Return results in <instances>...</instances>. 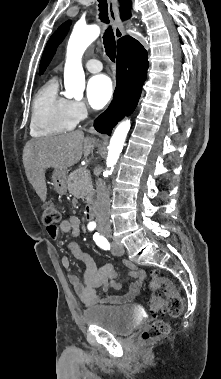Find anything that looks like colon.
<instances>
[{
	"label": "colon",
	"instance_id": "1",
	"mask_svg": "<svg viewBox=\"0 0 221 379\" xmlns=\"http://www.w3.org/2000/svg\"><path fill=\"white\" fill-rule=\"evenodd\" d=\"M42 223L47 229L54 230L60 221V212L53 203H46L42 216ZM163 288V296L153 295L149 301L153 314L168 313L170 316H179L184 308V303L174 283L167 278L153 273L150 281V289L157 291ZM169 324L163 320H155L141 334L144 341H154L167 336Z\"/></svg>",
	"mask_w": 221,
	"mask_h": 379
}]
</instances>
